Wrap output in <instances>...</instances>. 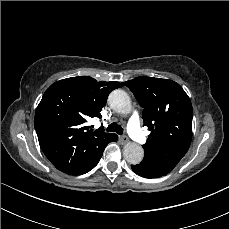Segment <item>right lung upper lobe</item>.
<instances>
[{"label": "right lung upper lobe", "instance_id": "1", "mask_svg": "<svg viewBox=\"0 0 229 229\" xmlns=\"http://www.w3.org/2000/svg\"><path fill=\"white\" fill-rule=\"evenodd\" d=\"M122 86L81 76L57 81L46 90L36 109L35 129L41 150L58 170L77 171L113 135L89 130L85 122L101 118L109 93Z\"/></svg>", "mask_w": 229, "mask_h": 229}]
</instances>
